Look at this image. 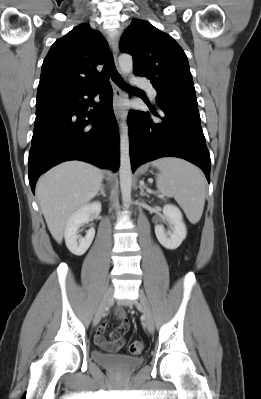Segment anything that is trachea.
Wrapping results in <instances>:
<instances>
[{
  "label": "trachea",
  "mask_w": 261,
  "mask_h": 399,
  "mask_svg": "<svg viewBox=\"0 0 261 399\" xmlns=\"http://www.w3.org/2000/svg\"><path fill=\"white\" fill-rule=\"evenodd\" d=\"M112 76L113 80L122 88L124 89H135L131 86H129L128 84H126L123 79L120 77V75L117 73V71L115 70L114 67V63H113V59L112 57H109V59L107 60L105 67L99 77V79L97 80V87H100L101 83L103 82V80L107 79L109 76Z\"/></svg>",
  "instance_id": "obj_1"
}]
</instances>
